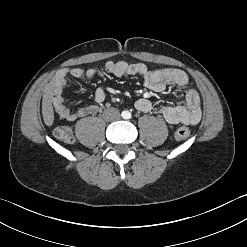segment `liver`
Returning a JSON list of instances; mask_svg holds the SVG:
<instances>
[{
    "mask_svg": "<svg viewBox=\"0 0 247 247\" xmlns=\"http://www.w3.org/2000/svg\"><path fill=\"white\" fill-rule=\"evenodd\" d=\"M54 82L51 81L44 90L42 98V115L44 123L51 126L54 122V111L52 106Z\"/></svg>",
    "mask_w": 247,
    "mask_h": 247,
    "instance_id": "6515ba94",
    "label": "liver"
}]
</instances>
